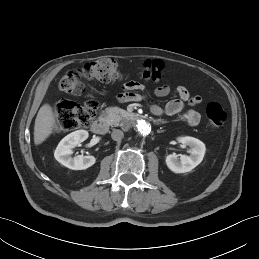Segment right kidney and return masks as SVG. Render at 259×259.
<instances>
[{
    "label": "right kidney",
    "instance_id": "1",
    "mask_svg": "<svg viewBox=\"0 0 259 259\" xmlns=\"http://www.w3.org/2000/svg\"><path fill=\"white\" fill-rule=\"evenodd\" d=\"M87 138L88 132L86 130H77L68 134L59 142L54 152L55 159L72 170H84L91 167L96 162L94 156H71L73 154L72 148L76 147Z\"/></svg>",
    "mask_w": 259,
    "mask_h": 259
}]
</instances>
